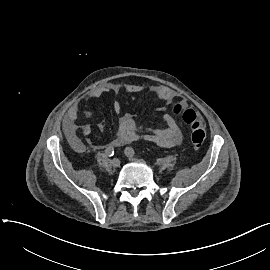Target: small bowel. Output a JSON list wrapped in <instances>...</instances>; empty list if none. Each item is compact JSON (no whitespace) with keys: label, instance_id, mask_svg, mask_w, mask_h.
Instances as JSON below:
<instances>
[{"label":"small bowel","instance_id":"1","mask_svg":"<svg viewBox=\"0 0 270 270\" xmlns=\"http://www.w3.org/2000/svg\"><path fill=\"white\" fill-rule=\"evenodd\" d=\"M142 88L139 85H128L121 87L116 84H105L96 87L90 91L84 98V101L99 98L105 94L113 93L116 95L129 94L140 91ZM151 94L166 103L171 105L175 99V92L166 87L158 86L150 90ZM81 102L73 104L67 112L65 118L66 134L74 138L78 133L88 136L92 132L90 124H79L78 118L81 110ZM114 113L120 115L118 133L112 142L114 146H123L131 142L147 141L154 143L160 147L173 148L178 146L182 140V130L176 120L169 114L162 117L163 126L160 128H143L136 124L132 114L122 113V101L120 99L114 100L112 103ZM97 127L100 131L105 129L104 122H99Z\"/></svg>","mask_w":270,"mask_h":270}]
</instances>
